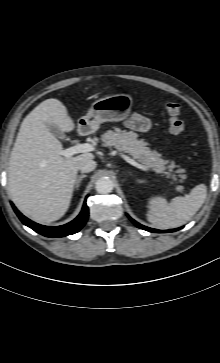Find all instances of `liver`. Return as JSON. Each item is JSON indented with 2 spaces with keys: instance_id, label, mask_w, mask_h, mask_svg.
I'll list each match as a JSON object with an SVG mask.
<instances>
[{
  "instance_id": "liver-1",
  "label": "liver",
  "mask_w": 220,
  "mask_h": 363,
  "mask_svg": "<svg viewBox=\"0 0 220 363\" xmlns=\"http://www.w3.org/2000/svg\"><path fill=\"white\" fill-rule=\"evenodd\" d=\"M71 132L75 123L58 99H47L23 120L9 159L8 187L17 208L40 223L60 219L68 210L82 160L88 152L63 157L61 142L48 129Z\"/></svg>"
}]
</instances>
